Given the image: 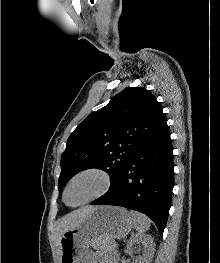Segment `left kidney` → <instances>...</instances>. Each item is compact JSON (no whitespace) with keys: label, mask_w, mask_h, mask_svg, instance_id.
<instances>
[{"label":"left kidney","mask_w":220,"mask_h":263,"mask_svg":"<svg viewBox=\"0 0 220 263\" xmlns=\"http://www.w3.org/2000/svg\"><path fill=\"white\" fill-rule=\"evenodd\" d=\"M134 244H142L144 247L143 255L138 257L136 263H150L155 251V243L149 234H135L127 244L126 252H131Z\"/></svg>","instance_id":"obj_1"}]
</instances>
